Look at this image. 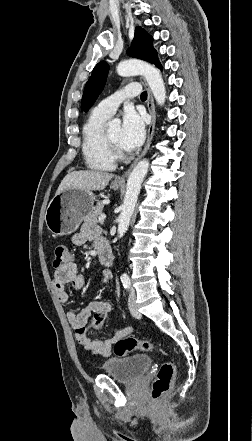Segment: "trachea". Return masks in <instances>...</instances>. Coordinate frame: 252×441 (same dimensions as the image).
Returning <instances> with one entry per match:
<instances>
[{"label": "trachea", "mask_w": 252, "mask_h": 441, "mask_svg": "<svg viewBox=\"0 0 252 441\" xmlns=\"http://www.w3.org/2000/svg\"><path fill=\"white\" fill-rule=\"evenodd\" d=\"M146 98H147V92L144 91V92H142V94H141V99H146Z\"/></svg>", "instance_id": "3493384b"}]
</instances>
